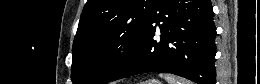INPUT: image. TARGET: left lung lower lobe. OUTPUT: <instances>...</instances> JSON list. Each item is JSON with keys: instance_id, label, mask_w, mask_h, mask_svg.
I'll use <instances>...</instances> for the list:
<instances>
[{"instance_id": "0a47b994", "label": "left lung lower lobe", "mask_w": 260, "mask_h": 84, "mask_svg": "<svg viewBox=\"0 0 260 84\" xmlns=\"http://www.w3.org/2000/svg\"><path fill=\"white\" fill-rule=\"evenodd\" d=\"M215 36L210 0H156L134 52L109 82L161 71L215 84Z\"/></svg>"}]
</instances>
